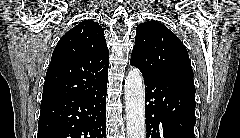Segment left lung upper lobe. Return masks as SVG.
Returning a JSON list of instances; mask_svg holds the SVG:
<instances>
[{
  "label": "left lung upper lobe",
  "mask_w": 240,
  "mask_h": 138,
  "mask_svg": "<svg viewBox=\"0 0 240 138\" xmlns=\"http://www.w3.org/2000/svg\"><path fill=\"white\" fill-rule=\"evenodd\" d=\"M136 30L131 65L149 77L193 78L188 52L172 31L157 21L144 22Z\"/></svg>",
  "instance_id": "1"
}]
</instances>
